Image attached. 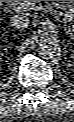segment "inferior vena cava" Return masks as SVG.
<instances>
[{"instance_id":"1","label":"inferior vena cava","mask_w":74,"mask_h":122,"mask_svg":"<svg viewBox=\"0 0 74 122\" xmlns=\"http://www.w3.org/2000/svg\"><path fill=\"white\" fill-rule=\"evenodd\" d=\"M10 24L18 29H23L29 26L30 20L25 15L15 14L10 18Z\"/></svg>"}]
</instances>
